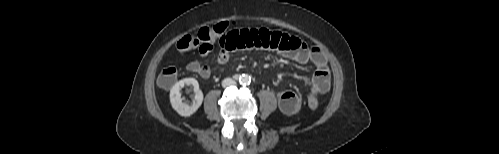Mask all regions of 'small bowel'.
<instances>
[{
	"label": "small bowel",
	"mask_w": 499,
	"mask_h": 154,
	"mask_svg": "<svg viewBox=\"0 0 499 154\" xmlns=\"http://www.w3.org/2000/svg\"><path fill=\"white\" fill-rule=\"evenodd\" d=\"M219 52L217 61L225 64L232 52L247 49H268L281 54L287 59L300 64L311 63L315 66L310 93L325 94L330 88V69L327 58L317 47H309L297 37L267 28H240L231 30L219 37ZM214 49L212 42H204L199 48L200 56L205 57ZM187 70L197 73L203 78L210 77L211 70L207 65L192 61ZM278 106L286 115H293L301 108V99L293 91L285 90L277 96Z\"/></svg>",
	"instance_id": "1"
}]
</instances>
